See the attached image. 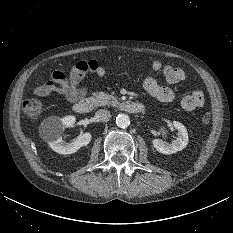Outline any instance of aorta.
Segmentation results:
<instances>
[{
	"label": "aorta",
	"instance_id": "762f6f07",
	"mask_svg": "<svg viewBox=\"0 0 233 233\" xmlns=\"http://www.w3.org/2000/svg\"><path fill=\"white\" fill-rule=\"evenodd\" d=\"M116 124L120 128H126L130 125V118L127 114H119L116 117Z\"/></svg>",
	"mask_w": 233,
	"mask_h": 233
}]
</instances>
